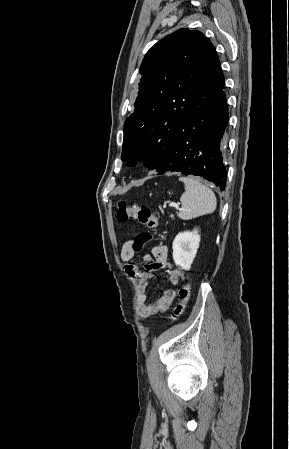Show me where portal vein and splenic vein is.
I'll return each instance as SVG.
<instances>
[{"label":"portal vein and splenic vein","mask_w":289,"mask_h":449,"mask_svg":"<svg viewBox=\"0 0 289 449\" xmlns=\"http://www.w3.org/2000/svg\"><path fill=\"white\" fill-rule=\"evenodd\" d=\"M170 207H175L176 209H179V203H170Z\"/></svg>","instance_id":"portal-vein-and-splenic-vein-1"}]
</instances>
